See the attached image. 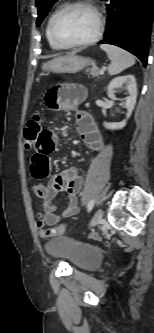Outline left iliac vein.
Listing matches in <instances>:
<instances>
[{
    "label": "left iliac vein",
    "instance_id": "left-iliac-vein-1",
    "mask_svg": "<svg viewBox=\"0 0 154 333\" xmlns=\"http://www.w3.org/2000/svg\"><path fill=\"white\" fill-rule=\"evenodd\" d=\"M102 216H103V211L101 209H98L93 215V218L90 223V227H94L97 224H99L102 219Z\"/></svg>",
    "mask_w": 154,
    "mask_h": 333
}]
</instances>
